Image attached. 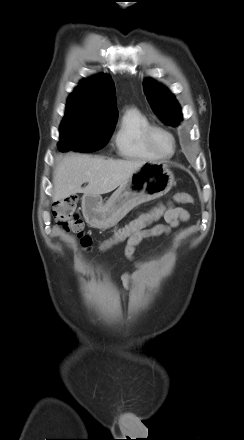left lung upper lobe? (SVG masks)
<instances>
[{
	"label": "left lung upper lobe",
	"instance_id": "1",
	"mask_svg": "<svg viewBox=\"0 0 244 440\" xmlns=\"http://www.w3.org/2000/svg\"><path fill=\"white\" fill-rule=\"evenodd\" d=\"M147 100L157 116L171 126H177L183 119L182 112L173 94L151 78L143 83Z\"/></svg>",
	"mask_w": 244,
	"mask_h": 440
}]
</instances>
